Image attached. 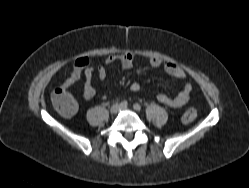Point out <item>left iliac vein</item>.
<instances>
[{
    "mask_svg": "<svg viewBox=\"0 0 249 188\" xmlns=\"http://www.w3.org/2000/svg\"><path fill=\"white\" fill-rule=\"evenodd\" d=\"M121 109H122V110H126V109H127V107H121Z\"/></svg>",
    "mask_w": 249,
    "mask_h": 188,
    "instance_id": "4c4485c4",
    "label": "left iliac vein"
}]
</instances>
